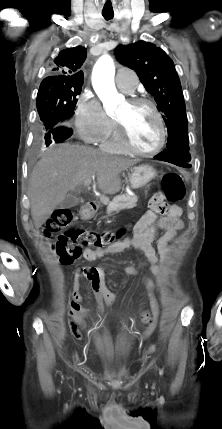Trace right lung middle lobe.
Segmentation results:
<instances>
[{"label":"right lung middle lobe","instance_id":"obj_1","mask_svg":"<svg viewBox=\"0 0 222 429\" xmlns=\"http://www.w3.org/2000/svg\"><path fill=\"white\" fill-rule=\"evenodd\" d=\"M83 83H41L37 110L46 132L68 123L74 114Z\"/></svg>","mask_w":222,"mask_h":429}]
</instances>
